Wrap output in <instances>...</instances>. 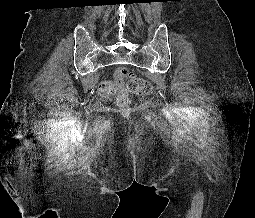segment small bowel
<instances>
[{"label": "small bowel", "instance_id": "c3829d8e", "mask_svg": "<svg viewBox=\"0 0 255 218\" xmlns=\"http://www.w3.org/2000/svg\"><path fill=\"white\" fill-rule=\"evenodd\" d=\"M105 83V82H104ZM120 87H122V83L119 84Z\"/></svg>", "mask_w": 255, "mask_h": 218}]
</instances>
